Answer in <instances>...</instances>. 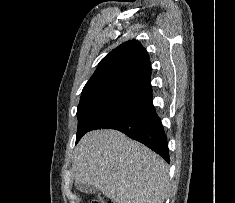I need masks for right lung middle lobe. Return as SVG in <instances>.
Here are the masks:
<instances>
[{
	"instance_id": "right-lung-middle-lobe-1",
	"label": "right lung middle lobe",
	"mask_w": 235,
	"mask_h": 203,
	"mask_svg": "<svg viewBox=\"0 0 235 203\" xmlns=\"http://www.w3.org/2000/svg\"><path fill=\"white\" fill-rule=\"evenodd\" d=\"M149 89L127 83H109L83 89L77 108L76 143L99 121L143 97Z\"/></svg>"
}]
</instances>
